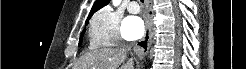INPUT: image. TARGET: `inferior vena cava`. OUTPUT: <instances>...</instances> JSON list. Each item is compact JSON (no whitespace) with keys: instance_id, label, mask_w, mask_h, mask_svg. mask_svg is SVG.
I'll return each mask as SVG.
<instances>
[{"instance_id":"602c4592","label":"inferior vena cava","mask_w":246,"mask_h":69,"mask_svg":"<svg viewBox=\"0 0 246 69\" xmlns=\"http://www.w3.org/2000/svg\"><path fill=\"white\" fill-rule=\"evenodd\" d=\"M121 48L126 50V51H130L131 50V46H125V47H121Z\"/></svg>"}]
</instances>
